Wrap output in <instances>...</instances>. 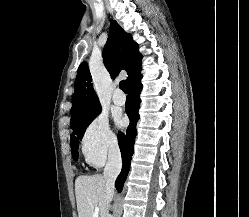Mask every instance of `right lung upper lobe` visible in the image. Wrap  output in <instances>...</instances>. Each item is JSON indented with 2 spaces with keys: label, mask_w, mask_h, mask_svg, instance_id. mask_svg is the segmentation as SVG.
<instances>
[{
  "label": "right lung upper lobe",
  "mask_w": 249,
  "mask_h": 217,
  "mask_svg": "<svg viewBox=\"0 0 249 217\" xmlns=\"http://www.w3.org/2000/svg\"><path fill=\"white\" fill-rule=\"evenodd\" d=\"M139 46L132 40L116 21L111 22L110 34L103 50V61L111 77H116L121 70H126L130 82L141 69L142 55ZM92 77L86 62L80 64L74 84L72 97L71 122L100 107L94 92Z\"/></svg>",
  "instance_id": "cb5924a9"
}]
</instances>
